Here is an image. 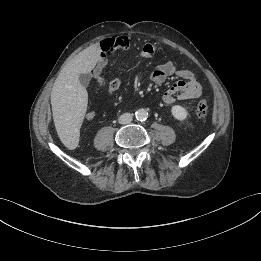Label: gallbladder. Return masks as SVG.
<instances>
[{"label":"gallbladder","mask_w":261,"mask_h":261,"mask_svg":"<svg viewBox=\"0 0 261 261\" xmlns=\"http://www.w3.org/2000/svg\"><path fill=\"white\" fill-rule=\"evenodd\" d=\"M90 79L91 76L89 73L79 75V81L83 86H87L90 82Z\"/></svg>","instance_id":"1"}]
</instances>
